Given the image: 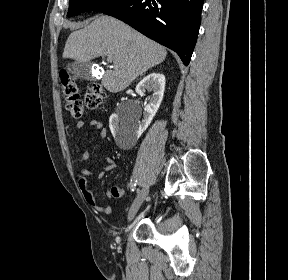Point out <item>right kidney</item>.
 Returning a JSON list of instances; mask_svg holds the SVG:
<instances>
[{"instance_id": "right-kidney-1", "label": "right kidney", "mask_w": 288, "mask_h": 280, "mask_svg": "<svg viewBox=\"0 0 288 280\" xmlns=\"http://www.w3.org/2000/svg\"><path fill=\"white\" fill-rule=\"evenodd\" d=\"M165 89V76L160 73H151L144 77L136 86V93L143 96L145 91H152L149 102L144 108L141 121H133L130 127L122 124L117 115L110 117V130L118 146L132 147L142 133L148 128L157 110L160 107Z\"/></svg>"}]
</instances>
